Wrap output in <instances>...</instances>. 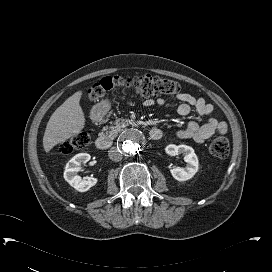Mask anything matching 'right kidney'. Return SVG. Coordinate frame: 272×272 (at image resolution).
I'll list each match as a JSON object with an SVG mask.
<instances>
[{"mask_svg":"<svg viewBox=\"0 0 272 272\" xmlns=\"http://www.w3.org/2000/svg\"><path fill=\"white\" fill-rule=\"evenodd\" d=\"M91 156L88 153H79L68 161L64 171V179L79 192H86L97 183V178L84 177L77 175L80 171L82 163L90 160Z\"/></svg>","mask_w":272,"mask_h":272,"instance_id":"ca27d5eb","label":"right kidney"}]
</instances>
